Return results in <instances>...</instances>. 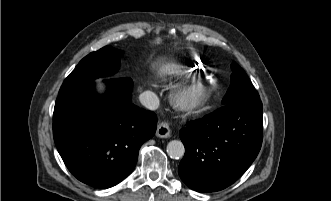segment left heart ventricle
<instances>
[{"label": "left heart ventricle", "instance_id": "obj_1", "mask_svg": "<svg viewBox=\"0 0 331 201\" xmlns=\"http://www.w3.org/2000/svg\"><path fill=\"white\" fill-rule=\"evenodd\" d=\"M197 93H198L197 90H192L191 93H190V95L194 97ZM184 96H185V95H184Z\"/></svg>", "mask_w": 331, "mask_h": 201}]
</instances>
